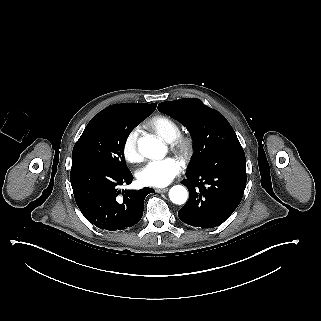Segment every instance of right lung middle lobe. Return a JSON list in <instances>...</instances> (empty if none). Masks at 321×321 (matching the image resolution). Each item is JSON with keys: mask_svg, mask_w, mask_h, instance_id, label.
<instances>
[{"mask_svg": "<svg viewBox=\"0 0 321 321\" xmlns=\"http://www.w3.org/2000/svg\"><path fill=\"white\" fill-rule=\"evenodd\" d=\"M140 122L122 121L101 111L84 129L72 151V165L94 164L116 171L128 170L124 146L130 132Z\"/></svg>", "mask_w": 321, "mask_h": 321, "instance_id": "obj_1", "label": "right lung middle lobe"}]
</instances>
